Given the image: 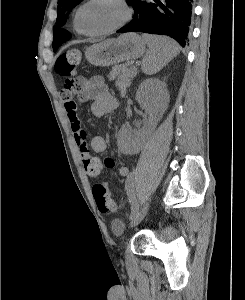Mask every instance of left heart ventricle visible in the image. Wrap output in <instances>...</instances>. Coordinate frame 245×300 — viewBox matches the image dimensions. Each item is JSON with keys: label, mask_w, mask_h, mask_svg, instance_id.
Wrapping results in <instances>:
<instances>
[{"label": "left heart ventricle", "mask_w": 245, "mask_h": 300, "mask_svg": "<svg viewBox=\"0 0 245 300\" xmlns=\"http://www.w3.org/2000/svg\"><path fill=\"white\" fill-rule=\"evenodd\" d=\"M124 11L115 0H96L82 12V24L91 32L108 29L123 18Z\"/></svg>", "instance_id": "b2bd125f"}]
</instances>
